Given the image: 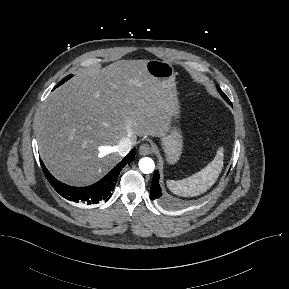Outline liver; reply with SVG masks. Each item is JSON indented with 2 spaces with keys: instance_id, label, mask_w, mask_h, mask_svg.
<instances>
[{
  "instance_id": "6515ba94",
  "label": "liver",
  "mask_w": 289,
  "mask_h": 289,
  "mask_svg": "<svg viewBox=\"0 0 289 289\" xmlns=\"http://www.w3.org/2000/svg\"><path fill=\"white\" fill-rule=\"evenodd\" d=\"M146 64L119 60L88 68L48 96L35 129L41 158L56 179L93 184L122 159L123 137L136 143L137 136H163L172 102Z\"/></svg>"
}]
</instances>
